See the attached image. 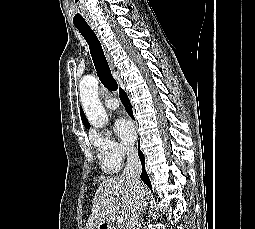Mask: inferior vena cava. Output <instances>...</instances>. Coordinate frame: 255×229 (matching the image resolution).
I'll use <instances>...</instances> for the list:
<instances>
[{
  "mask_svg": "<svg viewBox=\"0 0 255 229\" xmlns=\"http://www.w3.org/2000/svg\"><path fill=\"white\" fill-rule=\"evenodd\" d=\"M127 163L123 176L133 184L134 194L130 205V213L126 222V229H135L138 224V217L143 208L145 193L141 186L140 174L142 165L135 147H127Z\"/></svg>",
  "mask_w": 255,
  "mask_h": 229,
  "instance_id": "inferior-vena-cava-1",
  "label": "inferior vena cava"
}]
</instances>
